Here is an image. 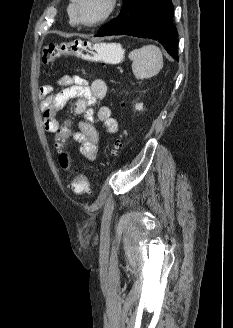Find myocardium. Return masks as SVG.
Instances as JSON below:
<instances>
[{"label":"myocardium","mask_w":233,"mask_h":328,"mask_svg":"<svg viewBox=\"0 0 233 328\" xmlns=\"http://www.w3.org/2000/svg\"><path fill=\"white\" fill-rule=\"evenodd\" d=\"M79 4H80V0H73V10H74L76 22L83 26L95 27L103 24L113 15V13L117 8L118 0H107V8L104 14L99 19L92 22L84 21L81 18L80 11H79Z\"/></svg>","instance_id":"obj_1"}]
</instances>
